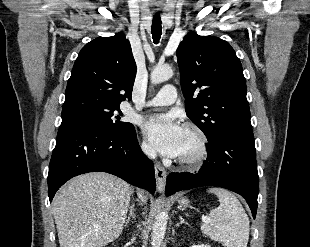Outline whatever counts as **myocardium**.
I'll list each match as a JSON object with an SVG mask.
<instances>
[{"label": "myocardium", "instance_id": "obj_1", "mask_svg": "<svg viewBox=\"0 0 310 247\" xmlns=\"http://www.w3.org/2000/svg\"><path fill=\"white\" fill-rule=\"evenodd\" d=\"M184 130L195 135L197 139V149L192 154L178 156V162L189 167L197 166L206 158L208 154L207 135L202 128L193 123L185 124Z\"/></svg>", "mask_w": 310, "mask_h": 247}]
</instances>
